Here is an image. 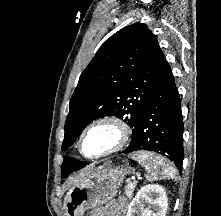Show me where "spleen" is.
I'll list each match as a JSON object with an SVG mask.
<instances>
[{
  "label": "spleen",
  "instance_id": "obj_1",
  "mask_svg": "<svg viewBox=\"0 0 221 216\" xmlns=\"http://www.w3.org/2000/svg\"><path fill=\"white\" fill-rule=\"evenodd\" d=\"M131 157L145 167L146 179L150 182L166 178L176 179V169L163 157L146 151H140Z\"/></svg>",
  "mask_w": 221,
  "mask_h": 216
}]
</instances>
